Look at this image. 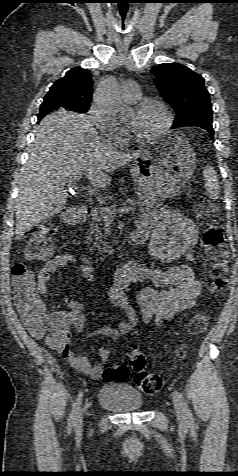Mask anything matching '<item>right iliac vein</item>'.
<instances>
[{"label": "right iliac vein", "instance_id": "obj_1", "mask_svg": "<svg viewBox=\"0 0 238 476\" xmlns=\"http://www.w3.org/2000/svg\"><path fill=\"white\" fill-rule=\"evenodd\" d=\"M82 422H83V418H82V414H80V415L78 416L77 421H76V424H75V431H76V433H80V432H81Z\"/></svg>", "mask_w": 238, "mask_h": 476}]
</instances>
